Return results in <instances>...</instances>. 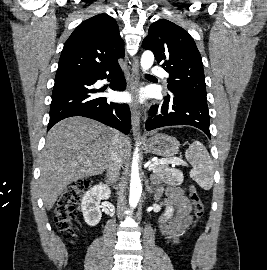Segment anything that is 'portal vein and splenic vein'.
<instances>
[{"label":"portal vein and splenic vein","mask_w":267,"mask_h":270,"mask_svg":"<svg viewBox=\"0 0 267 270\" xmlns=\"http://www.w3.org/2000/svg\"><path fill=\"white\" fill-rule=\"evenodd\" d=\"M161 163H169L172 165H186V162L183 161L180 158H172V159H168V160H160ZM145 168H148L149 171L152 170L153 165L150 162L145 163L144 165Z\"/></svg>","instance_id":"18ae733b"}]
</instances>
